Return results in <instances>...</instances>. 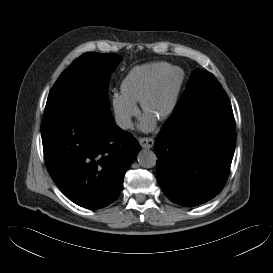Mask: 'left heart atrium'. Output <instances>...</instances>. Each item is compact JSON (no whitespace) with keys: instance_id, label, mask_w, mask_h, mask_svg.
Here are the masks:
<instances>
[{"instance_id":"left-heart-atrium-1","label":"left heart atrium","mask_w":273,"mask_h":273,"mask_svg":"<svg viewBox=\"0 0 273 273\" xmlns=\"http://www.w3.org/2000/svg\"><path fill=\"white\" fill-rule=\"evenodd\" d=\"M154 126H155L154 117H152L150 115H145L144 119H143V122H142V125H141V128L143 130H151V129L154 128Z\"/></svg>"}]
</instances>
